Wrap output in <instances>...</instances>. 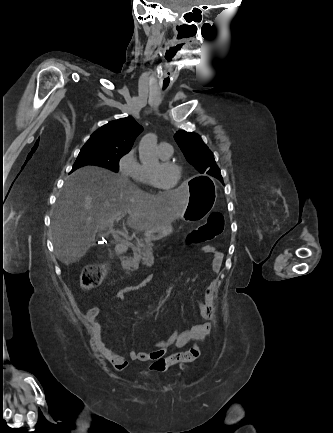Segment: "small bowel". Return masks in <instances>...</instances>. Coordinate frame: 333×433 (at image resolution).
<instances>
[{
    "label": "small bowel",
    "mask_w": 333,
    "mask_h": 433,
    "mask_svg": "<svg viewBox=\"0 0 333 433\" xmlns=\"http://www.w3.org/2000/svg\"><path fill=\"white\" fill-rule=\"evenodd\" d=\"M201 250L204 253L211 254L212 270L217 272L220 269L223 254L211 245H204ZM153 276L148 275L142 282L137 285L128 286L118 290L113 298L123 301L126 296L141 287L148 285L152 282ZM215 292L208 286L203 292V297L197 300V308L200 318L203 320L200 323L191 325L190 327L181 330L173 331L164 340L157 342L154 345V349L149 351H129L127 356L120 354L113 348L106 345L102 336V327L99 320V309L97 307L90 308L86 311L85 319L91 329L92 337L95 346L98 351L106 358V360L117 370H122L127 365V359L137 360L141 362H150L151 365L156 361L164 358L165 353L171 347L182 348L190 341L202 340L206 338L211 331V320L214 317L215 312ZM150 365V366H151Z\"/></svg>",
    "instance_id": "small-bowel-1"
}]
</instances>
